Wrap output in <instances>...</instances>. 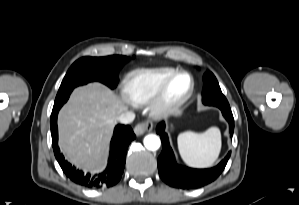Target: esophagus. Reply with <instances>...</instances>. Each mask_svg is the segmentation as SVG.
<instances>
[{
    "mask_svg": "<svg viewBox=\"0 0 299 205\" xmlns=\"http://www.w3.org/2000/svg\"><path fill=\"white\" fill-rule=\"evenodd\" d=\"M152 128H153L152 123H150V122H142V123H139V124H137L135 126L134 133L137 136H140V135L144 134L146 131L152 130Z\"/></svg>",
    "mask_w": 299,
    "mask_h": 205,
    "instance_id": "1",
    "label": "esophagus"
}]
</instances>
